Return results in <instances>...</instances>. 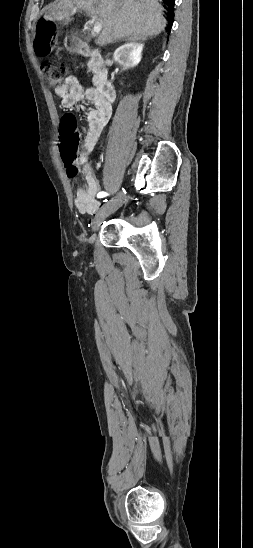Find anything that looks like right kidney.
<instances>
[{
	"mask_svg": "<svg viewBox=\"0 0 253 548\" xmlns=\"http://www.w3.org/2000/svg\"><path fill=\"white\" fill-rule=\"evenodd\" d=\"M144 45L137 42L126 43L114 52L113 58L124 68L129 69L135 67L141 60V53Z\"/></svg>",
	"mask_w": 253,
	"mask_h": 548,
	"instance_id": "1",
	"label": "right kidney"
}]
</instances>
